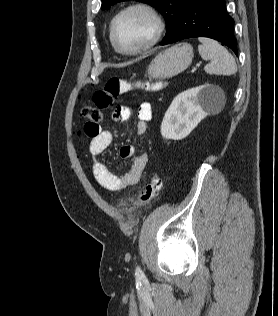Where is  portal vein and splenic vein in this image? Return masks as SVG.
<instances>
[{
  "mask_svg": "<svg viewBox=\"0 0 278 316\" xmlns=\"http://www.w3.org/2000/svg\"><path fill=\"white\" fill-rule=\"evenodd\" d=\"M196 67H200V63H197V64H196Z\"/></svg>",
  "mask_w": 278,
  "mask_h": 316,
  "instance_id": "obj_1",
  "label": "portal vein and splenic vein"
}]
</instances>
